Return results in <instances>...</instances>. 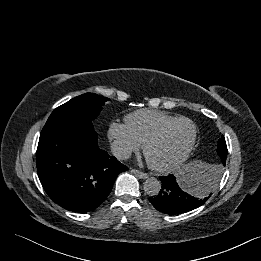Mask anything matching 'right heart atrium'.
I'll return each mask as SVG.
<instances>
[{
  "label": "right heart atrium",
  "instance_id": "right-heart-atrium-1",
  "mask_svg": "<svg viewBox=\"0 0 261 261\" xmlns=\"http://www.w3.org/2000/svg\"><path fill=\"white\" fill-rule=\"evenodd\" d=\"M107 136L113 153L121 159L137 152L141 145L131 134L126 124L113 121L109 124Z\"/></svg>",
  "mask_w": 261,
  "mask_h": 261
}]
</instances>
